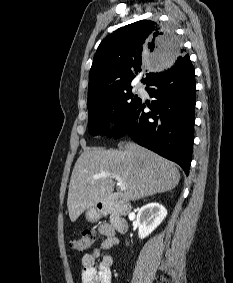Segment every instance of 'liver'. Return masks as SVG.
Listing matches in <instances>:
<instances>
[{"label": "liver", "instance_id": "liver-1", "mask_svg": "<svg viewBox=\"0 0 233 283\" xmlns=\"http://www.w3.org/2000/svg\"><path fill=\"white\" fill-rule=\"evenodd\" d=\"M119 149H86L77 159L72 171L67 207L72 222L88 208L106 201L113 192L115 177L93 179V175L110 172L127 185L124 195L135 201L167 192L180 181L173 162L134 142H121Z\"/></svg>", "mask_w": 233, "mask_h": 283}]
</instances>
